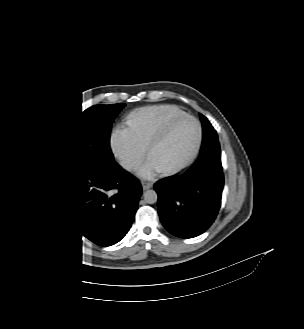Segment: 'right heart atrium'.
<instances>
[{"label": "right heart atrium", "instance_id": "d8ad5b80", "mask_svg": "<svg viewBox=\"0 0 304 329\" xmlns=\"http://www.w3.org/2000/svg\"><path fill=\"white\" fill-rule=\"evenodd\" d=\"M112 146L115 154L128 166L139 167L144 160V154L133 142L125 129H116L112 136Z\"/></svg>", "mask_w": 304, "mask_h": 329}]
</instances>
